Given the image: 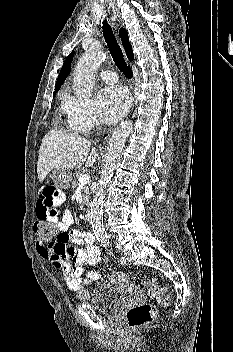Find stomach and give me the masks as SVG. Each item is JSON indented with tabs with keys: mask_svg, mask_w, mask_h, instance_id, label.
<instances>
[{
	"mask_svg": "<svg viewBox=\"0 0 233 352\" xmlns=\"http://www.w3.org/2000/svg\"><path fill=\"white\" fill-rule=\"evenodd\" d=\"M52 178L55 184L62 189H68L71 183V174L65 169H54L52 172Z\"/></svg>",
	"mask_w": 233,
	"mask_h": 352,
	"instance_id": "stomach-1",
	"label": "stomach"
}]
</instances>
